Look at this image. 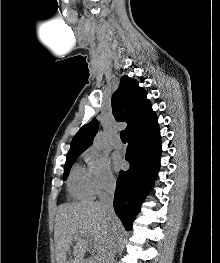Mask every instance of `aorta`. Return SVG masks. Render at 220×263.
<instances>
[{
  "instance_id": "1",
  "label": "aorta",
  "mask_w": 220,
  "mask_h": 263,
  "mask_svg": "<svg viewBox=\"0 0 220 263\" xmlns=\"http://www.w3.org/2000/svg\"><path fill=\"white\" fill-rule=\"evenodd\" d=\"M94 147L97 150H102L103 149V145H104V141H103V137L101 134H98L95 139H94Z\"/></svg>"
}]
</instances>
